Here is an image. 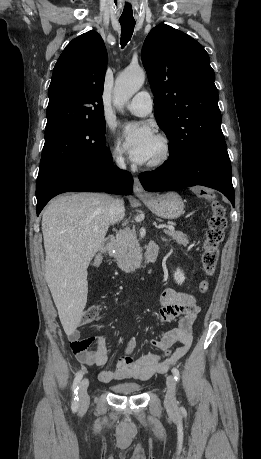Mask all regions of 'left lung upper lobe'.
<instances>
[{"label":"left lung upper lobe","instance_id":"1","mask_svg":"<svg viewBox=\"0 0 261 459\" xmlns=\"http://www.w3.org/2000/svg\"><path fill=\"white\" fill-rule=\"evenodd\" d=\"M142 62L155 95V118L170 141L169 159L226 146L215 73L208 53L189 35L159 24L146 37Z\"/></svg>","mask_w":261,"mask_h":459}]
</instances>
